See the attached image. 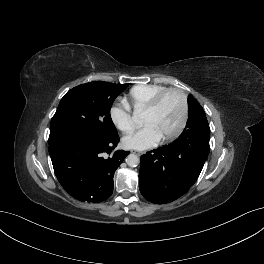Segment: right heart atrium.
I'll return each instance as SVG.
<instances>
[{
	"label": "right heart atrium",
	"mask_w": 264,
	"mask_h": 264,
	"mask_svg": "<svg viewBox=\"0 0 264 264\" xmlns=\"http://www.w3.org/2000/svg\"><path fill=\"white\" fill-rule=\"evenodd\" d=\"M113 125L121 132L127 133L133 128L132 112L126 104H114L109 111Z\"/></svg>",
	"instance_id": "obj_1"
}]
</instances>
